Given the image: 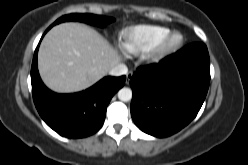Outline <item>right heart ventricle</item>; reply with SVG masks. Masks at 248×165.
I'll use <instances>...</instances> for the list:
<instances>
[{
	"mask_svg": "<svg viewBox=\"0 0 248 165\" xmlns=\"http://www.w3.org/2000/svg\"><path fill=\"white\" fill-rule=\"evenodd\" d=\"M170 30L155 25H140L128 29L123 35L122 48L131 55L149 51Z\"/></svg>",
	"mask_w": 248,
	"mask_h": 165,
	"instance_id": "obj_1",
	"label": "right heart ventricle"
}]
</instances>
